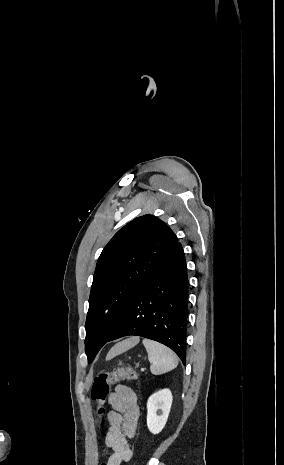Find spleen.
Wrapping results in <instances>:
<instances>
[{
  "label": "spleen",
  "mask_w": 284,
  "mask_h": 465,
  "mask_svg": "<svg viewBox=\"0 0 284 465\" xmlns=\"http://www.w3.org/2000/svg\"><path fill=\"white\" fill-rule=\"evenodd\" d=\"M142 343L148 353L152 375H163V373L176 369L178 357L168 347L161 345V343H156V341H149V339H144Z\"/></svg>",
  "instance_id": "1"
}]
</instances>
